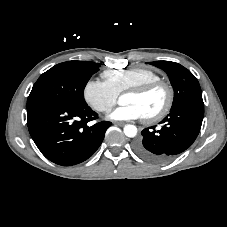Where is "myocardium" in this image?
Instances as JSON below:
<instances>
[{
	"label": "myocardium",
	"mask_w": 227,
	"mask_h": 227,
	"mask_svg": "<svg viewBox=\"0 0 227 227\" xmlns=\"http://www.w3.org/2000/svg\"><path fill=\"white\" fill-rule=\"evenodd\" d=\"M159 88H162L166 93L165 103L158 112L152 115L144 116L143 118L146 122L153 123L160 121L170 112L174 102V90L172 86L166 81L157 80L124 91V95L132 94L136 96H144Z\"/></svg>",
	"instance_id": "myocardium-1"
}]
</instances>
